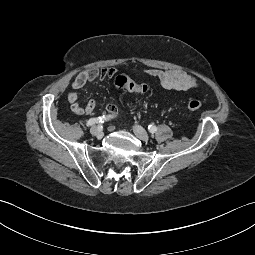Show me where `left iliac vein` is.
Here are the masks:
<instances>
[{
    "mask_svg": "<svg viewBox=\"0 0 255 255\" xmlns=\"http://www.w3.org/2000/svg\"><path fill=\"white\" fill-rule=\"evenodd\" d=\"M133 131H134L135 135H136L139 139H141V140H143V141H148V140H149V135H148V133H147L141 126L135 125V126L133 127Z\"/></svg>",
    "mask_w": 255,
    "mask_h": 255,
    "instance_id": "4c4485c4",
    "label": "left iliac vein"
}]
</instances>
